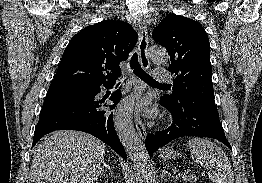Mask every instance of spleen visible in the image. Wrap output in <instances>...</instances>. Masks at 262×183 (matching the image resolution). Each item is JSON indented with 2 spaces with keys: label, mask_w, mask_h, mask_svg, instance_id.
<instances>
[{
  "label": "spleen",
  "mask_w": 262,
  "mask_h": 183,
  "mask_svg": "<svg viewBox=\"0 0 262 183\" xmlns=\"http://www.w3.org/2000/svg\"><path fill=\"white\" fill-rule=\"evenodd\" d=\"M191 157L201 166L210 169L209 176L214 183H233L234 174L225 152L215 143L203 138L187 142Z\"/></svg>",
  "instance_id": "obj_1"
}]
</instances>
